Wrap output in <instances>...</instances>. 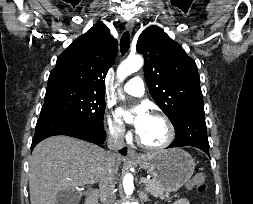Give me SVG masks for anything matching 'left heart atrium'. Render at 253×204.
<instances>
[{
    "label": "left heart atrium",
    "mask_w": 253,
    "mask_h": 204,
    "mask_svg": "<svg viewBox=\"0 0 253 204\" xmlns=\"http://www.w3.org/2000/svg\"><path fill=\"white\" fill-rule=\"evenodd\" d=\"M134 110L136 112V118L133 123V128L137 133H139L150 115L144 106H138ZM124 112L125 110L123 108L118 109V113L120 115H122Z\"/></svg>",
    "instance_id": "obj_1"
}]
</instances>
